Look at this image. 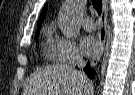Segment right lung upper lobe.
Listing matches in <instances>:
<instances>
[{
  "label": "right lung upper lobe",
  "instance_id": "1",
  "mask_svg": "<svg viewBox=\"0 0 135 95\" xmlns=\"http://www.w3.org/2000/svg\"><path fill=\"white\" fill-rule=\"evenodd\" d=\"M46 11H47V6L44 7V9L42 10V13L39 17L38 24H37V33L40 31L42 22L44 20L45 15H46Z\"/></svg>",
  "mask_w": 135,
  "mask_h": 95
}]
</instances>
